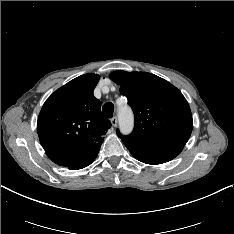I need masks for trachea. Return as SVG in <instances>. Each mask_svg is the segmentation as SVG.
<instances>
[{
  "mask_svg": "<svg viewBox=\"0 0 234 234\" xmlns=\"http://www.w3.org/2000/svg\"><path fill=\"white\" fill-rule=\"evenodd\" d=\"M102 111L106 117L112 118L114 112V105L111 102L105 103L103 105Z\"/></svg>",
  "mask_w": 234,
  "mask_h": 234,
  "instance_id": "trachea-1",
  "label": "trachea"
}]
</instances>
